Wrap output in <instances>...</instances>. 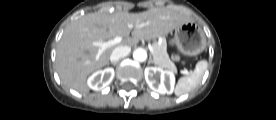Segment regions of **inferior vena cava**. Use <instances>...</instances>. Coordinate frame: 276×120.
I'll use <instances>...</instances> for the list:
<instances>
[{"label":"inferior vena cava","instance_id":"obj_1","mask_svg":"<svg viewBox=\"0 0 276 120\" xmlns=\"http://www.w3.org/2000/svg\"><path fill=\"white\" fill-rule=\"evenodd\" d=\"M130 51L131 48L129 46L116 47L110 55L111 62H117L119 59L126 57Z\"/></svg>","mask_w":276,"mask_h":120}]
</instances>
